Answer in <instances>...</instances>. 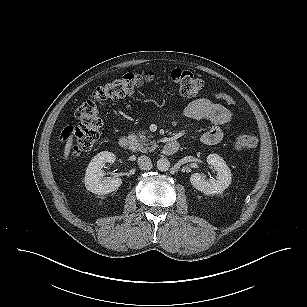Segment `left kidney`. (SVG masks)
Wrapping results in <instances>:
<instances>
[{
  "label": "left kidney",
  "mask_w": 307,
  "mask_h": 307,
  "mask_svg": "<svg viewBox=\"0 0 307 307\" xmlns=\"http://www.w3.org/2000/svg\"><path fill=\"white\" fill-rule=\"evenodd\" d=\"M207 163L217 172L216 179L206 180L200 173H194L190 177V183L206 195L222 193L231 184V171L225 161L217 154L208 155Z\"/></svg>",
  "instance_id": "5707ae66"
}]
</instances>
